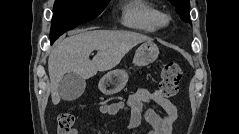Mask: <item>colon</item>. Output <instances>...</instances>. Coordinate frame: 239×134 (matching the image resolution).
<instances>
[{
    "mask_svg": "<svg viewBox=\"0 0 239 134\" xmlns=\"http://www.w3.org/2000/svg\"><path fill=\"white\" fill-rule=\"evenodd\" d=\"M182 78V69L178 63H167L161 70L159 90L164 98L173 97L178 90ZM75 116L70 111H65L58 116L57 133L71 134Z\"/></svg>",
    "mask_w": 239,
    "mask_h": 134,
    "instance_id": "1",
    "label": "colon"
}]
</instances>
